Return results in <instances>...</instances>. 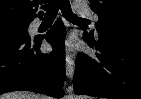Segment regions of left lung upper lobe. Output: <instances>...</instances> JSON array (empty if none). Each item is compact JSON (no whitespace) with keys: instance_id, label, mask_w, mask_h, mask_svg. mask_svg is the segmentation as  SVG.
<instances>
[{"instance_id":"5c2ea615","label":"left lung upper lobe","mask_w":141,"mask_h":99,"mask_svg":"<svg viewBox=\"0 0 141 99\" xmlns=\"http://www.w3.org/2000/svg\"><path fill=\"white\" fill-rule=\"evenodd\" d=\"M91 9L98 15L97 32L141 33L140 0H90Z\"/></svg>"}]
</instances>
